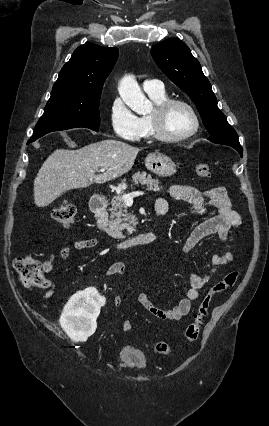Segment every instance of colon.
I'll return each mask as SVG.
<instances>
[{
  "label": "colon",
  "mask_w": 269,
  "mask_h": 426,
  "mask_svg": "<svg viewBox=\"0 0 269 426\" xmlns=\"http://www.w3.org/2000/svg\"><path fill=\"white\" fill-rule=\"evenodd\" d=\"M194 170L202 178L208 179L211 171L206 163H196ZM51 215L55 222L62 228H70L75 222L76 208L67 200H63L55 205L51 210ZM14 269L17 278L24 286L43 287L46 283L42 263L30 256L18 257L14 261ZM239 278V272L236 270L228 272L223 279L217 281L210 290L204 295L199 302L192 321L187 325L184 332V340L188 343L196 341L198 338L203 321L208 310L216 296L235 286ZM132 322L124 320L122 322V330L131 331ZM157 353L162 355H171L173 353L172 346L164 341L157 342L155 345Z\"/></svg>",
  "instance_id": "colon-1"
}]
</instances>
